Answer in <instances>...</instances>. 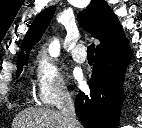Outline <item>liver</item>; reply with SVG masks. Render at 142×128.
I'll list each match as a JSON object with an SVG mask.
<instances>
[{"instance_id":"obj_1","label":"liver","mask_w":142,"mask_h":128,"mask_svg":"<svg viewBox=\"0 0 142 128\" xmlns=\"http://www.w3.org/2000/svg\"><path fill=\"white\" fill-rule=\"evenodd\" d=\"M13 128H67V123L60 111L47 108H28L21 111Z\"/></svg>"}]
</instances>
